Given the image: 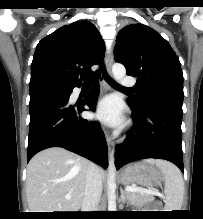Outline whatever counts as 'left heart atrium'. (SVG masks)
Masks as SVG:
<instances>
[{
    "mask_svg": "<svg viewBox=\"0 0 203 219\" xmlns=\"http://www.w3.org/2000/svg\"><path fill=\"white\" fill-rule=\"evenodd\" d=\"M96 117L110 125H118L122 122L119 102L114 97L101 100L96 108Z\"/></svg>",
    "mask_w": 203,
    "mask_h": 219,
    "instance_id": "left-heart-atrium-1",
    "label": "left heart atrium"
}]
</instances>
